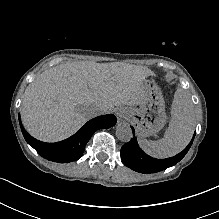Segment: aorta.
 <instances>
[{"instance_id": "1", "label": "aorta", "mask_w": 219, "mask_h": 219, "mask_svg": "<svg viewBox=\"0 0 219 219\" xmlns=\"http://www.w3.org/2000/svg\"><path fill=\"white\" fill-rule=\"evenodd\" d=\"M116 136L122 142H129L132 139V129L126 123L118 124L116 127Z\"/></svg>"}]
</instances>
